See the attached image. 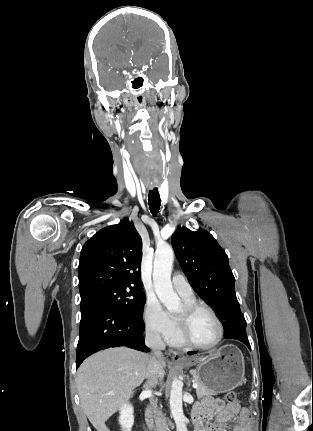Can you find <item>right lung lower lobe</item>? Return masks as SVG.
Returning <instances> with one entry per match:
<instances>
[{
    "label": "right lung lower lobe",
    "instance_id": "right-lung-lower-lobe-1",
    "mask_svg": "<svg viewBox=\"0 0 313 431\" xmlns=\"http://www.w3.org/2000/svg\"><path fill=\"white\" fill-rule=\"evenodd\" d=\"M81 313L76 369L88 356L103 349L126 346L148 351L142 337L143 318L103 304L90 306Z\"/></svg>",
    "mask_w": 313,
    "mask_h": 431
}]
</instances>
